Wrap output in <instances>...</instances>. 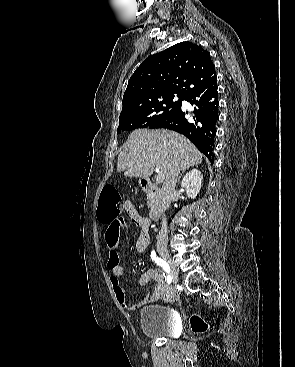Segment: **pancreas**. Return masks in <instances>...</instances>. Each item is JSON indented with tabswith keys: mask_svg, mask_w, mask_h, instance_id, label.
<instances>
[{
	"mask_svg": "<svg viewBox=\"0 0 295 367\" xmlns=\"http://www.w3.org/2000/svg\"><path fill=\"white\" fill-rule=\"evenodd\" d=\"M147 200H148L147 201L148 207H152L154 205V203H155L156 197L153 194L149 193L147 195Z\"/></svg>",
	"mask_w": 295,
	"mask_h": 367,
	"instance_id": "cf45deb5",
	"label": "pancreas"
}]
</instances>
